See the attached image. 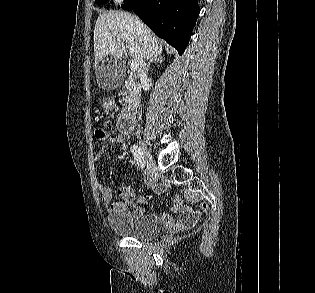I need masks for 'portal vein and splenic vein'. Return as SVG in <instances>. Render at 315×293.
I'll use <instances>...</instances> for the list:
<instances>
[{"instance_id":"1","label":"portal vein and splenic vein","mask_w":315,"mask_h":293,"mask_svg":"<svg viewBox=\"0 0 315 293\" xmlns=\"http://www.w3.org/2000/svg\"><path fill=\"white\" fill-rule=\"evenodd\" d=\"M130 69L132 70V71H136L137 69H138V64H137V62H135V61H131L130 62Z\"/></svg>"}]
</instances>
